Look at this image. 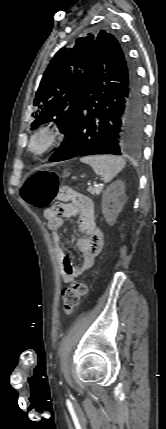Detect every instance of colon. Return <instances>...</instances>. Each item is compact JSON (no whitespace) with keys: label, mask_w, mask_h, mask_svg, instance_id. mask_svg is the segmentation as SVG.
<instances>
[{"label":"colon","mask_w":166,"mask_h":429,"mask_svg":"<svg viewBox=\"0 0 166 429\" xmlns=\"http://www.w3.org/2000/svg\"><path fill=\"white\" fill-rule=\"evenodd\" d=\"M22 198L30 205L44 208L55 199H66L77 205H87L89 199L69 187H59L58 175L48 170L33 172L21 188ZM85 281H73L62 291V309L66 314L72 313L81 299L87 294Z\"/></svg>","instance_id":"5ec220e1"}]
</instances>
